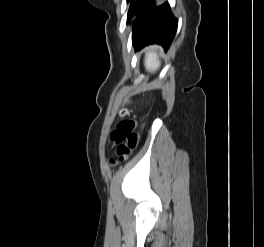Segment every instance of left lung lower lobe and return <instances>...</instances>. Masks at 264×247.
<instances>
[{"mask_svg": "<svg viewBox=\"0 0 264 247\" xmlns=\"http://www.w3.org/2000/svg\"><path fill=\"white\" fill-rule=\"evenodd\" d=\"M136 15L132 34L135 49L157 43L167 50L175 36L178 24L170 11L168 2L156 7L155 0H146Z\"/></svg>", "mask_w": 264, "mask_h": 247, "instance_id": "obj_1", "label": "left lung lower lobe"}]
</instances>
